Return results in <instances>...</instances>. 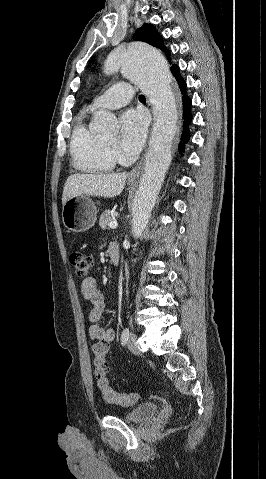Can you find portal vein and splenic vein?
<instances>
[{"label": "portal vein and splenic vein", "mask_w": 266, "mask_h": 479, "mask_svg": "<svg viewBox=\"0 0 266 479\" xmlns=\"http://www.w3.org/2000/svg\"><path fill=\"white\" fill-rule=\"evenodd\" d=\"M117 226H118V224H117V222H115V221H112V222H110V224H109V227L112 228V229L117 228Z\"/></svg>", "instance_id": "18ae733b"}]
</instances>
